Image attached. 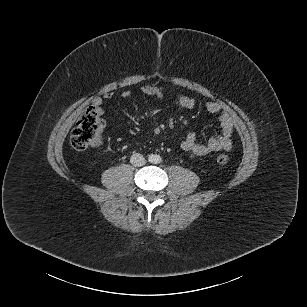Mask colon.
I'll list each match as a JSON object with an SVG mask.
<instances>
[{
  "label": "colon",
  "instance_id": "1",
  "mask_svg": "<svg viewBox=\"0 0 307 307\" xmlns=\"http://www.w3.org/2000/svg\"><path fill=\"white\" fill-rule=\"evenodd\" d=\"M104 121L96 107L90 106L81 114L75 128L70 136V143L76 150L83 151L92 147H97L102 142ZM220 165L228 163V156L220 154L217 157Z\"/></svg>",
  "mask_w": 307,
  "mask_h": 307
}]
</instances>
